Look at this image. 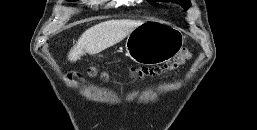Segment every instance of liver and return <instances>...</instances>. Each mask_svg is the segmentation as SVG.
<instances>
[{
  "mask_svg": "<svg viewBox=\"0 0 257 130\" xmlns=\"http://www.w3.org/2000/svg\"><path fill=\"white\" fill-rule=\"evenodd\" d=\"M143 21L109 20L88 28L71 48L68 59L77 61L85 53L97 54L123 40Z\"/></svg>",
  "mask_w": 257,
  "mask_h": 130,
  "instance_id": "1",
  "label": "liver"
}]
</instances>
